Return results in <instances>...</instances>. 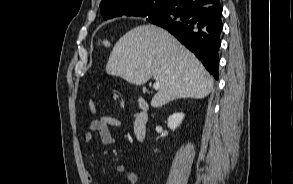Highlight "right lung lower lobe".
<instances>
[{
    "label": "right lung lower lobe",
    "mask_w": 293,
    "mask_h": 184,
    "mask_svg": "<svg viewBox=\"0 0 293 184\" xmlns=\"http://www.w3.org/2000/svg\"><path fill=\"white\" fill-rule=\"evenodd\" d=\"M204 3L203 0H172L160 18L147 21L173 34L218 79L222 7L219 0L206 6Z\"/></svg>",
    "instance_id": "1"
}]
</instances>
